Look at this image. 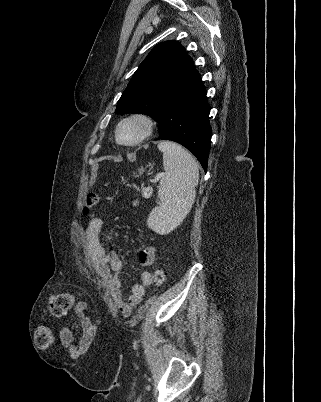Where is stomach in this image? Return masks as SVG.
<instances>
[{"label":"stomach","mask_w":321,"mask_h":402,"mask_svg":"<svg viewBox=\"0 0 321 402\" xmlns=\"http://www.w3.org/2000/svg\"><path fill=\"white\" fill-rule=\"evenodd\" d=\"M144 172V169L141 167L140 169H139V173L141 174V173H143Z\"/></svg>","instance_id":"1"}]
</instances>
